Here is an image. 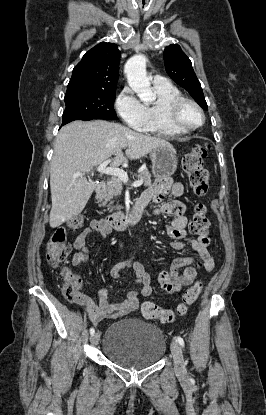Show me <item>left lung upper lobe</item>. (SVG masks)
<instances>
[{
  "label": "left lung upper lobe",
  "mask_w": 266,
  "mask_h": 415,
  "mask_svg": "<svg viewBox=\"0 0 266 415\" xmlns=\"http://www.w3.org/2000/svg\"><path fill=\"white\" fill-rule=\"evenodd\" d=\"M164 63L168 75L186 89L194 100L208 110L201 84L192 68L190 59L177 44L169 45L164 50Z\"/></svg>",
  "instance_id": "obj_1"
}]
</instances>
